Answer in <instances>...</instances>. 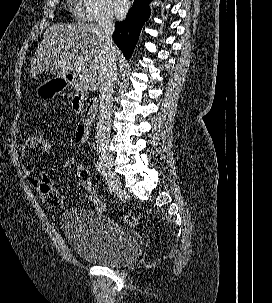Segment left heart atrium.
Here are the masks:
<instances>
[{"instance_id":"left-heart-atrium-1","label":"left heart atrium","mask_w":272,"mask_h":303,"mask_svg":"<svg viewBox=\"0 0 272 303\" xmlns=\"http://www.w3.org/2000/svg\"><path fill=\"white\" fill-rule=\"evenodd\" d=\"M129 9L128 0H113L112 11L116 17H123Z\"/></svg>"}]
</instances>
